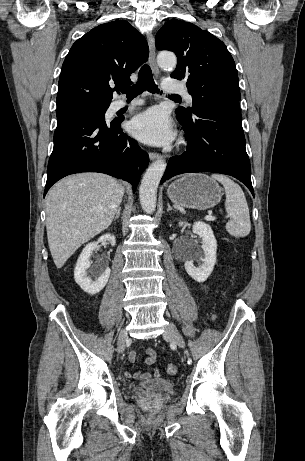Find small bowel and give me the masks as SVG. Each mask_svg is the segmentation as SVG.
Segmentation results:
<instances>
[{"label":"small bowel","instance_id":"small-bowel-1","mask_svg":"<svg viewBox=\"0 0 305 461\" xmlns=\"http://www.w3.org/2000/svg\"><path fill=\"white\" fill-rule=\"evenodd\" d=\"M145 353L147 355L146 358H145V361H144L145 365H148V366L153 365L155 363V361H156V352H155V350L152 349V348H147V349H145ZM128 359H129L130 362H134L135 359H136V353L134 351L130 352L129 355H128ZM151 375L153 377H159L160 372H159L158 369H153L152 372H151ZM124 376L126 378H134V379H137V380H141V379L144 378V374L141 373V372H136V373L132 374V373L126 371L124 373Z\"/></svg>","mask_w":305,"mask_h":461}]
</instances>
